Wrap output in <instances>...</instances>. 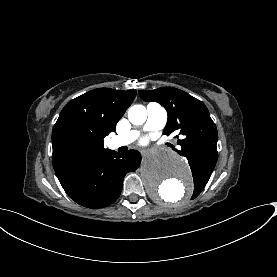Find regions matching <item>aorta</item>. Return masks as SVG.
I'll use <instances>...</instances> for the list:
<instances>
[{
	"label": "aorta",
	"instance_id": "obj_1",
	"mask_svg": "<svg viewBox=\"0 0 277 277\" xmlns=\"http://www.w3.org/2000/svg\"><path fill=\"white\" fill-rule=\"evenodd\" d=\"M129 121L141 125L147 111L142 105H134L128 111ZM141 177L149 194L157 201L169 204L184 203L192 193V178L182 156L167 150L156 149L149 153L140 168Z\"/></svg>",
	"mask_w": 277,
	"mask_h": 277
}]
</instances>
